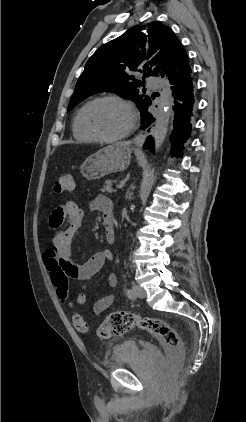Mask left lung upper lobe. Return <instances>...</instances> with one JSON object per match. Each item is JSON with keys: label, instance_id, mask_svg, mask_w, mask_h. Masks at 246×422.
<instances>
[{"label": "left lung upper lobe", "instance_id": "obj_1", "mask_svg": "<svg viewBox=\"0 0 246 422\" xmlns=\"http://www.w3.org/2000/svg\"><path fill=\"white\" fill-rule=\"evenodd\" d=\"M180 45L169 27L155 21L126 31L89 58L76 83L68 110L96 93L114 92L135 102L142 112L151 103V98L141 95L139 87L144 86L146 76L166 71ZM155 64L159 66L152 71ZM134 71L143 72V81L135 79Z\"/></svg>", "mask_w": 246, "mask_h": 422}]
</instances>
